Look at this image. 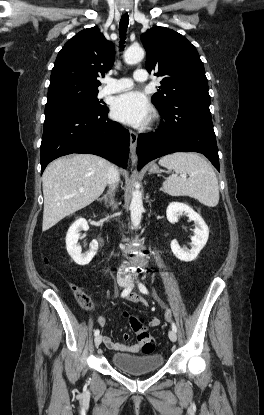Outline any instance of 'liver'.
Instances as JSON below:
<instances>
[{
	"label": "liver",
	"instance_id": "liver-1",
	"mask_svg": "<svg viewBox=\"0 0 264 415\" xmlns=\"http://www.w3.org/2000/svg\"><path fill=\"white\" fill-rule=\"evenodd\" d=\"M110 164L92 154H75L51 162L42 176V230L95 201L108 183Z\"/></svg>",
	"mask_w": 264,
	"mask_h": 415
}]
</instances>
